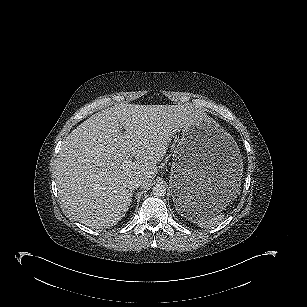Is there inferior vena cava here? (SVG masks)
<instances>
[{
    "mask_svg": "<svg viewBox=\"0 0 307 307\" xmlns=\"http://www.w3.org/2000/svg\"><path fill=\"white\" fill-rule=\"evenodd\" d=\"M141 185H142V180H140L138 178H133V179L128 181L127 188L132 191L136 188L141 187Z\"/></svg>",
    "mask_w": 307,
    "mask_h": 307,
    "instance_id": "1",
    "label": "inferior vena cava"
}]
</instances>
